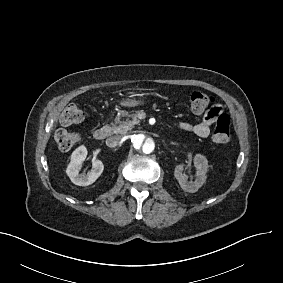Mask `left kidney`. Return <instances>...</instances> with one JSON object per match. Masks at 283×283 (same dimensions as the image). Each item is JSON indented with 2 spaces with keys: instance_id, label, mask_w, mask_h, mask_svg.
Returning a JSON list of instances; mask_svg holds the SVG:
<instances>
[{
  "instance_id": "obj_1",
  "label": "left kidney",
  "mask_w": 283,
  "mask_h": 283,
  "mask_svg": "<svg viewBox=\"0 0 283 283\" xmlns=\"http://www.w3.org/2000/svg\"><path fill=\"white\" fill-rule=\"evenodd\" d=\"M194 166L197 170V175L195 181L188 182V179L185 175L184 168L186 167L185 163H181L175 166L174 175L177 181L179 182L181 188L189 193H194L204 184L206 181V172L208 169V161L204 156L196 155L193 159Z\"/></svg>"
}]
</instances>
